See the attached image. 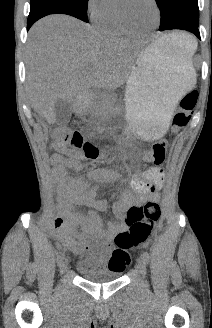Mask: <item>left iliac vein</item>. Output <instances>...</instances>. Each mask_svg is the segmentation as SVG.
Wrapping results in <instances>:
<instances>
[{"label":"left iliac vein","mask_w":212,"mask_h":328,"mask_svg":"<svg viewBox=\"0 0 212 328\" xmlns=\"http://www.w3.org/2000/svg\"><path fill=\"white\" fill-rule=\"evenodd\" d=\"M137 270L141 273L142 276L146 274V263L144 259L141 257L137 261Z\"/></svg>","instance_id":"obj_1"}]
</instances>
